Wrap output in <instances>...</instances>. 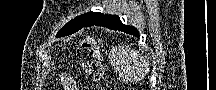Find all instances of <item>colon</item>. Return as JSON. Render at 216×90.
Returning a JSON list of instances; mask_svg holds the SVG:
<instances>
[{
    "label": "colon",
    "mask_w": 216,
    "mask_h": 90,
    "mask_svg": "<svg viewBox=\"0 0 216 90\" xmlns=\"http://www.w3.org/2000/svg\"><path fill=\"white\" fill-rule=\"evenodd\" d=\"M80 45L83 48L91 49V51H92V59H93V62H94L95 68H96L95 79L97 81L103 82L105 80V74L106 73H105V67H104V65L102 63V59H101L100 53L97 50H95L93 48H90L87 45L86 41H82L80 43Z\"/></svg>",
    "instance_id": "5ec220e1"
}]
</instances>
